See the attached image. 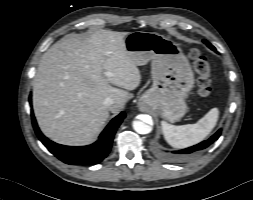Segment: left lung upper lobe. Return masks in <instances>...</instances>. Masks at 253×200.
Listing matches in <instances>:
<instances>
[{
  "label": "left lung upper lobe",
  "instance_id": "obj_1",
  "mask_svg": "<svg viewBox=\"0 0 253 200\" xmlns=\"http://www.w3.org/2000/svg\"><path fill=\"white\" fill-rule=\"evenodd\" d=\"M203 42L212 50H215L214 46H212L207 40H203Z\"/></svg>",
  "mask_w": 253,
  "mask_h": 200
}]
</instances>
